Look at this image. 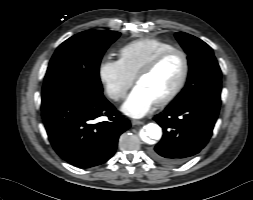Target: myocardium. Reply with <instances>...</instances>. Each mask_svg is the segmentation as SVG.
<instances>
[{
  "label": "myocardium",
  "mask_w": 253,
  "mask_h": 200,
  "mask_svg": "<svg viewBox=\"0 0 253 200\" xmlns=\"http://www.w3.org/2000/svg\"><path fill=\"white\" fill-rule=\"evenodd\" d=\"M175 54L179 55L182 58L183 71L176 86L166 96H164L163 98H161L160 100L156 102L158 106H163L170 103L179 95V93L184 88L189 76V71H190V63H189V58L187 54L184 51L180 49H176V48L164 51L160 53L159 55H157L156 57H154L143 68H141L135 75V82L137 83L139 79L153 73L161 65L163 61H165L168 57Z\"/></svg>",
  "instance_id": "myocardium-1"
}]
</instances>
